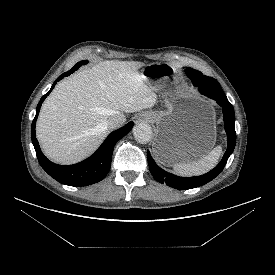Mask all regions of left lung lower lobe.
I'll return each mask as SVG.
<instances>
[{"instance_id": "left-lung-lower-lobe-1", "label": "left lung lower lobe", "mask_w": 275, "mask_h": 275, "mask_svg": "<svg viewBox=\"0 0 275 275\" xmlns=\"http://www.w3.org/2000/svg\"><path fill=\"white\" fill-rule=\"evenodd\" d=\"M186 74L191 79L193 85L198 87L200 93L203 92V95L214 99L222 107L224 126L227 133V150L220 163L214 169L204 175L189 178L178 177L171 173H167L155 163L148 151V164L153 177L162 184H166L180 190H187L202 186L217 177L224 169L226 162L232 154L236 144L234 109L228 101L226 95L214 87L213 78L205 76L201 73L186 72Z\"/></svg>"}]
</instances>
